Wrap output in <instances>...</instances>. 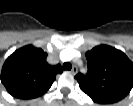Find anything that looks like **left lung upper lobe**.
Instances as JSON below:
<instances>
[{"label": "left lung upper lobe", "instance_id": "left-lung-upper-lobe-1", "mask_svg": "<svg viewBox=\"0 0 133 106\" xmlns=\"http://www.w3.org/2000/svg\"><path fill=\"white\" fill-rule=\"evenodd\" d=\"M87 74H77L81 90L94 102L115 103L133 87V63L120 50L100 45L86 52Z\"/></svg>", "mask_w": 133, "mask_h": 106}]
</instances>
